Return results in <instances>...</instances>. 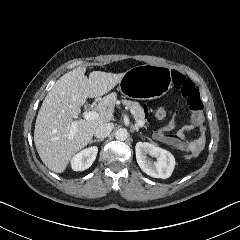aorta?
Segmentation results:
<instances>
[{
  "instance_id": "1",
  "label": "aorta",
  "mask_w": 240,
  "mask_h": 240,
  "mask_svg": "<svg viewBox=\"0 0 240 240\" xmlns=\"http://www.w3.org/2000/svg\"><path fill=\"white\" fill-rule=\"evenodd\" d=\"M128 136H129V133L126 128H119L115 133L116 139L120 141L127 139Z\"/></svg>"
}]
</instances>
